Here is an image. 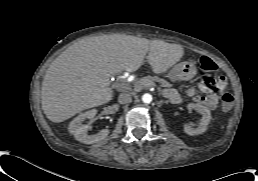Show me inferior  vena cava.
I'll return each mask as SVG.
<instances>
[{
    "instance_id": "1",
    "label": "inferior vena cava",
    "mask_w": 258,
    "mask_h": 181,
    "mask_svg": "<svg viewBox=\"0 0 258 181\" xmlns=\"http://www.w3.org/2000/svg\"><path fill=\"white\" fill-rule=\"evenodd\" d=\"M132 101V97L129 93H121L118 98L120 104H127Z\"/></svg>"
}]
</instances>
